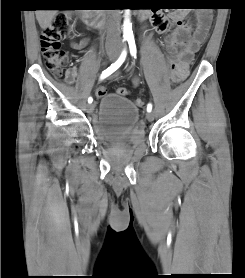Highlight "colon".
<instances>
[{
  "label": "colon",
  "mask_w": 245,
  "mask_h": 278,
  "mask_svg": "<svg viewBox=\"0 0 245 278\" xmlns=\"http://www.w3.org/2000/svg\"><path fill=\"white\" fill-rule=\"evenodd\" d=\"M198 7L205 11L213 10V5L208 2V0H203ZM72 25L71 19L66 14H57L52 21V24L41 30L40 33V44L42 56L48 70L53 74V76L59 78L62 75L63 67L67 62V55L61 49V40L68 37L71 34ZM172 80L175 84L182 80L175 69L172 68ZM116 92L120 96H127L129 94L128 90L124 87H119ZM137 107H142L144 105V100L142 98H136L134 100Z\"/></svg>",
  "instance_id": "1"
}]
</instances>
